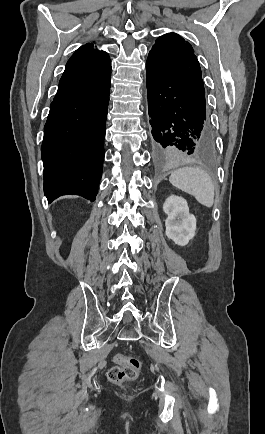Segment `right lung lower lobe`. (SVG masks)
Instances as JSON below:
<instances>
[{
    "instance_id": "obj_1",
    "label": "right lung lower lobe",
    "mask_w": 265,
    "mask_h": 434,
    "mask_svg": "<svg viewBox=\"0 0 265 434\" xmlns=\"http://www.w3.org/2000/svg\"><path fill=\"white\" fill-rule=\"evenodd\" d=\"M111 62L87 43L68 60L44 127L41 153L49 202L77 194L95 200L104 160Z\"/></svg>"
}]
</instances>
